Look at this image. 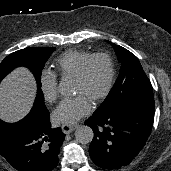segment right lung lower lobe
I'll return each mask as SVG.
<instances>
[{"label":"right lung lower lobe","mask_w":171,"mask_h":171,"mask_svg":"<svg viewBox=\"0 0 171 171\" xmlns=\"http://www.w3.org/2000/svg\"><path fill=\"white\" fill-rule=\"evenodd\" d=\"M64 138L61 128H51L48 110L33 107L21 121L0 128V154L17 171H52Z\"/></svg>","instance_id":"right-lung-lower-lobe-1"}]
</instances>
